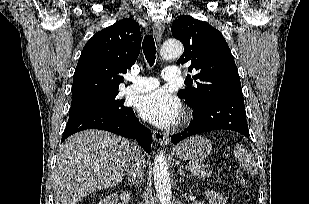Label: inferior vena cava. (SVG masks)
Returning a JSON list of instances; mask_svg holds the SVG:
<instances>
[{"instance_id": "inferior-vena-cava-1", "label": "inferior vena cava", "mask_w": 309, "mask_h": 204, "mask_svg": "<svg viewBox=\"0 0 309 204\" xmlns=\"http://www.w3.org/2000/svg\"><path fill=\"white\" fill-rule=\"evenodd\" d=\"M144 168H145V161L144 157L141 153V150L139 149L133 159L131 160V163L126 171L128 175V179L132 181L133 183H139L143 180L144 175Z\"/></svg>"}]
</instances>
